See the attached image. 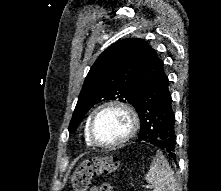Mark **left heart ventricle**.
<instances>
[{
    "label": "left heart ventricle",
    "instance_id": "1",
    "mask_svg": "<svg viewBox=\"0 0 221 191\" xmlns=\"http://www.w3.org/2000/svg\"><path fill=\"white\" fill-rule=\"evenodd\" d=\"M128 128L125 114L116 109L101 112L94 124V134L98 141L110 143L122 138Z\"/></svg>",
    "mask_w": 221,
    "mask_h": 191
}]
</instances>
